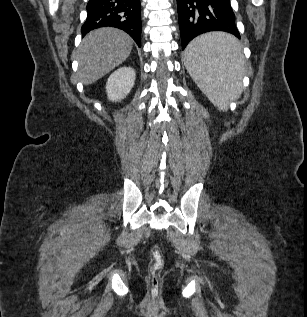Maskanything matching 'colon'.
<instances>
[{
    "label": "colon",
    "instance_id": "1",
    "mask_svg": "<svg viewBox=\"0 0 307 317\" xmlns=\"http://www.w3.org/2000/svg\"><path fill=\"white\" fill-rule=\"evenodd\" d=\"M163 268V256L159 247L154 246L151 250V261L149 264V279L153 291H157L160 283L161 270Z\"/></svg>",
    "mask_w": 307,
    "mask_h": 317
}]
</instances>
